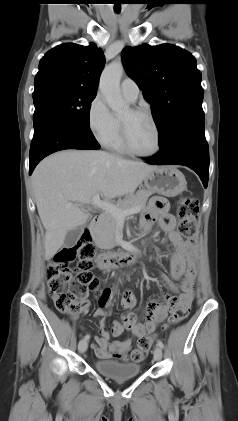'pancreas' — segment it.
Returning a JSON list of instances; mask_svg holds the SVG:
<instances>
[{"mask_svg": "<svg viewBox=\"0 0 238 421\" xmlns=\"http://www.w3.org/2000/svg\"><path fill=\"white\" fill-rule=\"evenodd\" d=\"M153 194L150 190H139L136 194H131L117 203L121 210L129 208H139L146 206L148 198ZM118 228V219L111 213L105 212L101 220L92 230V236L96 245L101 249L110 250L116 246V233Z\"/></svg>", "mask_w": 238, "mask_h": 421, "instance_id": "cf45deb5", "label": "pancreas"}]
</instances>
